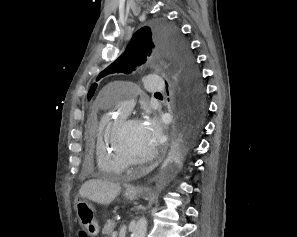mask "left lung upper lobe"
Wrapping results in <instances>:
<instances>
[{"instance_id":"5c2ea615","label":"left lung upper lobe","mask_w":297,"mask_h":237,"mask_svg":"<svg viewBox=\"0 0 297 237\" xmlns=\"http://www.w3.org/2000/svg\"><path fill=\"white\" fill-rule=\"evenodd\" d=\"M154 50L168 53L176 60L180 68L181 93L191 98L197 105L203 106L205 104L203 85L187 44L179 31L165 22L156 23L152 29L143 27L138 30L125 52L102 71L96 80L112 73H131L135 67L143 64L147 55ZM96 88L97 84L94 83L88 92L89 100Z\"/></svg>"}]
</instances>
